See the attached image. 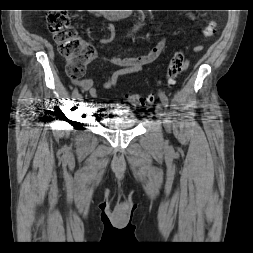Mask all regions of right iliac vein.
Returning a JSON list of instances; mask_svg holds the SVG:
<instances>
[{
  "label": "right iliac vein",
  "instance_id": "63e3f726",
  "mask_svg": "<svg viewBox=\"0 0 253 253\" xmlns=\"http://www.w3.org/2000/svg\"><path fill=\"white\" fill-rule=\"evenodd\" d=\"M83 99H84L83 95H78L77 96L76 104H75V107H74V114H77L81 110V107L83 105Z\"/></svg>",
  "mask_w": 253,
  "mask_h": 253
}]
</instances>
